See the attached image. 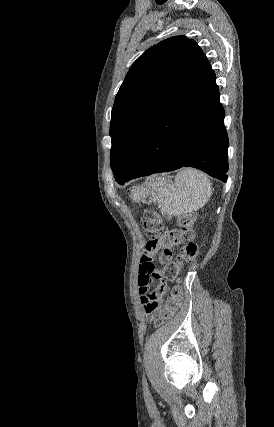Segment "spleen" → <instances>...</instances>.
<instances>
[{
    "instance_id": "spleen-1",
    "label": "spleen",
    "mask_w": 274,
    "mask_h": 427,
    "mask_svg": "<svg viewBox=\"0 0 274 427\" xmlns=\"http://www.w3.org/2000/svg\"><path fill=\"white\" fill-rule=\"evenodd\" d=\"M151 186L154 204H159L161 214L188 215L194 214L205 206L212 194V184L206 174L184 168L175 178L174 184H167L165 180H152ZM142 192H135L134 200H140Z\"/></svg>"
}]
</instances>
